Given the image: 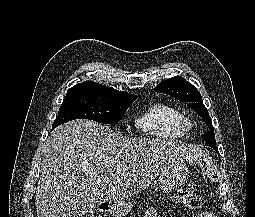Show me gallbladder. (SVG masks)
<instances>
[{"mask_svg":"<svg viewBox=\"0 0 255 217\" xmlns=\"http://www.w3.org/2000/svg\"><path fill=\"white\" fill-rule=\"evenodd\" d=\"M95 206L92 202L80 201L71 210L69 217H93Z\"/></svg>","mask_w":255,"mask_h":217,"instance_id":"1","label":"gallbladder"}]
</instances>
